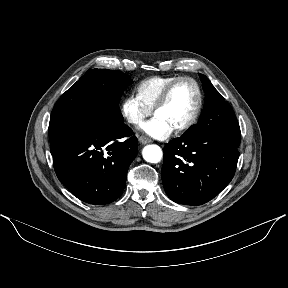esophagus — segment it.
Returning <instances> with one entry per match:
<instances>
[{"mask_svg": "<svg viewBox=\"0 0 288 288\" xmlns=\"http://www.w3.org/2000/svg\"><path fill=\"white\" fill-rule=\"evenodd\" d=\"M139 141L142 144H147V143L151 142V139L149 137H147V136H140L139 137Z\"/></svg>", "mask_w": 288, "mask_h": 288, "instance_id": "esophagus-1", "label": "esophagus"}]
</instances>
